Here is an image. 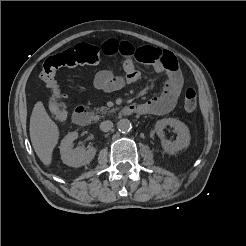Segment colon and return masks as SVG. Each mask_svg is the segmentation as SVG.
I'll list each match as a JSON object with an SVG mask.
<instances>
[{
  "label": "colon",
  "mask_w": 246,
  "mask_h": 246,
  "mask_svg": "<svg viewBox=\"0 0 246 246\" xmlns=\"http://www.w3.org/2000/svg\"><path fill=\"white\" fill-rule=\"evenodd\" d=\"M100 51L88 44H78L63 52L48 57L42 65L40 79L50 90V110L52 117L61 122L67 116L66 106L55 79L56 71L62 67L96 64L99 61ZM183 106L185 111L193 112L197 108V95L194 89L188 88L184 92Z\"/></svg>",
  "instance_id": "obj_1"
}]
</instances>
